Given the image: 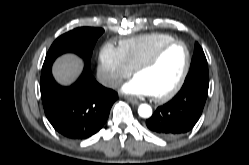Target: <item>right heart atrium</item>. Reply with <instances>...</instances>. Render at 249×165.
<instances>
[{
	"mask_svg": "<svg viewBox=\"0 0 249 165\" xmlns=\"http://www.w3.org/2000/svg\"><path fill=\"white\" fill-rule=\"evenodd\" d=\"M132 73L119 48L105 44L98 56L97 75L102 84L116 88Z\"/></svg>",
	"mask_w": 249,
	"mask_h": 165,
	"instance_id": "right-heart-atrium-1",
	"label": "right heart atrium"
}]
</instances>
